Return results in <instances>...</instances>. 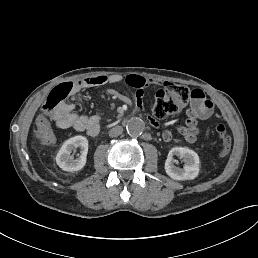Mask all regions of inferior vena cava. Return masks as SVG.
Listing matches in <instances>:
<instances>
[{
  "mask_svg": "<svg viewBox=\"0 0 258 258\" xmlns=\"http://www.w3.org/2000/svg\"><path fill=\"white\" fill-rule=\"evenodd\" d=\"M123 132V127L122 126H115L109 131V136L110 137H117L121 135Z\"/></svg>",
  "mask_w": 258,
  "mask_h": 258,
  "instance_id": "inferior-vena-cava-1",
  "label": "inferior vena cava"
}]
</instances>
